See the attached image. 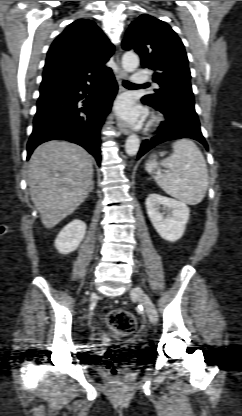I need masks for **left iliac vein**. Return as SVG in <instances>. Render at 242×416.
Here are the masks:
<instances>
[{
  "label": "left iliac vein",
  "mask_w": 242,
  "mask_h": 416,
  "mask_svg": "<svg viewBox=\"0 0 242 416\" xmlns=\"http://www.w3.org/2000/svg\"><path fill=\"white\" fill-rule=\"evenodd\" d=\"M131 295L143 305L151 323L156 324L158 321V313L150 297L139 287L133 288Z\"/></svg>",
  "instance_id": "1"
}]
</instances>
